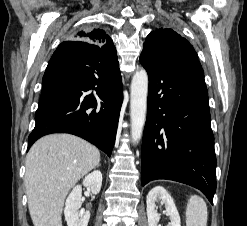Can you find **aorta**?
<instances>
[{
	"label": "aorta",
	"mask_w": 247,
	"mask_h": 226,
	"mask_svg": "<svg viewBox=\"0 0 247 226\" xmlns=\"http://www.w3.org/2000/svg\"><path fill=\"white\" fill-rule=\"evenodd\" d=\"M148 94V75L145 69L141 68L133 75L131 82V138L133 143L141 139L146 121Z\"/></svg>",
	"instance_id": "obj_1"
}]
</instances>
